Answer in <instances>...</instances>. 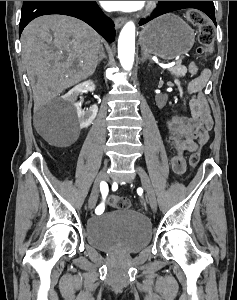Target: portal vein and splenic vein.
Listing matches in <instances>:
<instances>
[{"mask_svg":"<svg viewBox=\"0 0 237 300\" xmlns=\"http://www.w3.org/2000/svg\"><path fill=\"white\" fill-rule=\"evenodd\" d=\"M183 63H184V62H183L181 59L178 58V59L176 60L175 66L178 67V66L182 65Z\"/></svg>","mask_w":237,"mask_h":300,"instance_id":"portal-vein-and-splenic-vein-1","label":"portal vein and splenic vein"}]
</instances>
